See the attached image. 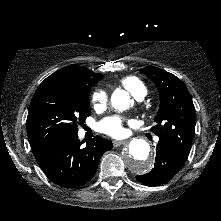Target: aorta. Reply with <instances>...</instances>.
Wrapping results in <instances>:
<instances>
[{
    "label": "aorta",
    "mask_w": 221,
    "mask_h": 221,
    "mask_svg": "<svg viewBox=\"0 0 221 221\" xmlns=\"http://www.w3.org/2000/svg\"><path fill=\"white\" fill-rule=\"evenodd\" d=\"M112 106L116 110H125L130 106L128 92L116 90L111 96ZM125 166L135 174H144L152 169L153 161L150 158V146L147 141L133 138L123 153Z\"/></svg>",
    "instance_id": "762f6f07"
}]
</instances>
